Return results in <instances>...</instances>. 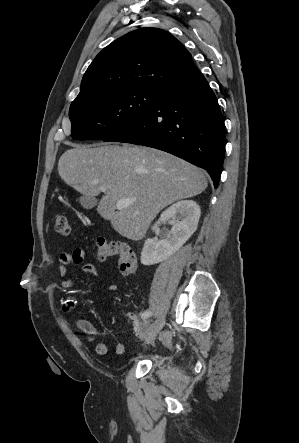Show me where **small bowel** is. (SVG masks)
Wrapping results in <instances>:
<instances>
[{
    "label": "small bowel",
    "instance_id": "1",
    "mask_svg": "<svg viewBox=\"0 0 299 443\" xmlns=\"http://www.w3.org/2000/svg\"><path fill=\"white\" fill-rule=\"evenodd\" d=\"M86 258H87V253L85 252V250L80 249V248L74 249V251L71 253L62 252L59 255V273L62 278L61 279V287L63 289L70 290L74 286V281L72 279L66 277L67 266L70 264H76V265L83 264L82 269L85 273L91 274L94 277H98L99 272H98L97 267L95 266V264L93 262H85ZM73 306H74V303L72 300H69L65 304V308L67 310L71 309ZM125 316L132 321L133 330H134L135 335L138 338H143L144 332H143V329L141 327V323H140L138 317L132 313H126ZM77 324H78V327L85 334L87 339L89 341L95 343V351L97 354L105 355L108 353L109 346L106 343L100 342V341L99 342L95 341V336L98 334V330L94 326L93 323H91L88 320L81 319V320H78ZM114 353L118 356L123 355L125 353V345L121 342L116 343L114 346Z\"/></svg>",
    "mask_w": 299,
    "mask_h": 443
}]
</instances>
